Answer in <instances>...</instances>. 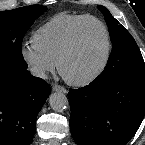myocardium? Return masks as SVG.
Returning a JSON list of instances; mask_svg holds the SVG:
<instances>
[{
    "label": "myocardium",
    "instance_id": "myocardium-1",
    "mask_svg": "<svg viewBox=\"0 0 145 145\" xmlns=\"http://www.w3.org/2000/svg\"><path fill=\"white\" fill-rule=\"evenodd\" d=\"M88 21H94L102 27V29L105 33V38H106L105 55H104V58H103L101 64L92 73H90L89 75H87L83 78H80V79H72V78L67 77L64 74L63 66H64L65 62L67 61V59L72 55V53L74 52V50L77 46L78 36H79V32H80L82 25ZM111 54H112V39H111V34H110V31H109L107 25L98 17L93 16V15H87V16L81 18L73 27V29L70 33L69 40H68L64 50L62 51L61 55L58 58L57 69H58V72L61 75V77L68 84L77 86V87H83V86L89 85L90 83H92L93 81H95L97 78H99L102 75V73L105 71V69L107 68V66L109 64Z\"/></svg>",
    "mask_w": 145,
    "mask_h": 145
}]
</instances>
